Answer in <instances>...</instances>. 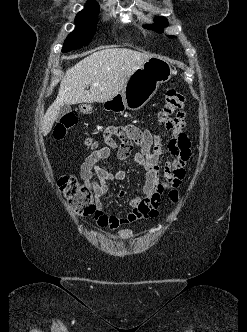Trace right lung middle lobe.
<instances>
[{
    "label": "right lung middle lobe",
    "mask_w": 247,
    "mask_h": 332,
    "mask_svg": "<svg viewBox=\"0 0 247 332\" xmlns=\"http://www.w3.org/2000/svg\"><path fill=\"white\" fill-rule=\"evenodd\" d=\"M99 7L82 10L75 18L76 28L64 41L62 52L80 49L88 45L96 32Z\"/></svg>",
    "instance_id": "obj_1"
}]
</instances>
